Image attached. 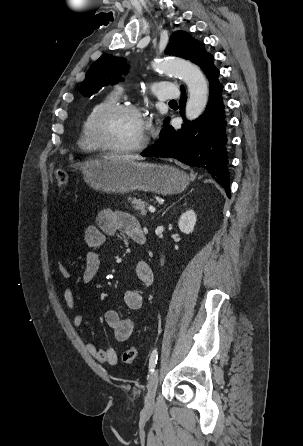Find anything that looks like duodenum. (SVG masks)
<instances>
[{
	"label": "duodenum",
	"instance_id": "duodenum-1",
	"mask_svg": "<svg viewBox=\"0 0 303 446\" xmlns=\"http://www.w3.org/2000/svg\"><path fill=\"white\" fill-rule=\"evenodd\" d=\"M145 241H146V237H145V235L141 236V237L138 239V243H140V244L145 243Z\"/></svg>",
	"mask_w": 303,
	"mask_h": 446
}]
</instances>
